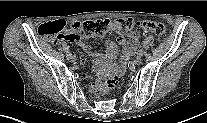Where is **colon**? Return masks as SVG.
I'll return each instance as SVG.
<instances>
[{
	"label": "colon",
	"instance_id": "obj_1",
	"mask_svg": "<svg viewBox=\"0 0 207 123\" xmlns=\"http://www.w3.org/2000/svg\"><path fill=\"white\" fill-rule=\"evenodd\" d=\"M116 25L122 32H126L133 27L145 33H153L158 37L166 36V28L164 24L152 21L134 22L130 18L118 19L110 21L108 19H94L86 20L82 23L73 24V31L69 34V39H79L83 37L101 36L110 31L112 25ZM64 28V22L61 20L45 22L39 25L37 31L41 37L55 38L57 40L61 36V32ZM117 85L115 78H107L101 84H98L94 88L96 96L103 97L110 91H112Z\"/></svg>",
	"mask_w": 207,
	"mask_h": 123
}]
</instances>
